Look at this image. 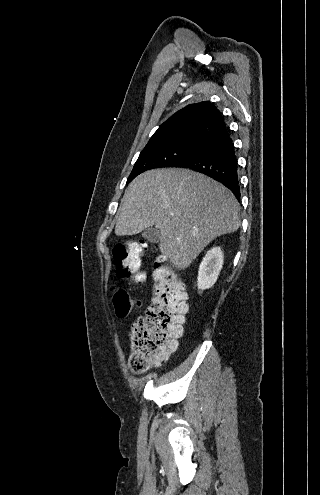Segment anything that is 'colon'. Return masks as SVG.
<instances>
[{
    "label": "colon",
    "mask_w": 320,
    "mask_h": 495,
    "mask_svg": "<svg viewBox=\"0 0 320 495\" xmlns=\"http://www.w3.org/2000/svg\"><path fill=\"white\" fill-rule=\"evenodd\" d=\"M144 242L118 243L113 249L116 274L120 279L132 278L142 282ZM154 295L144 315L138 317L130 330L131 354L129 365L136 373L147 370L172 353L177 345L187 313V295L183 284L164 261L159 258L153 272ZM113 302L119 317L129 315L134 300L123 288H113Z\"/></svg>",
    "instance_id": "colon-1"
}]
</instances>
